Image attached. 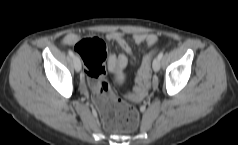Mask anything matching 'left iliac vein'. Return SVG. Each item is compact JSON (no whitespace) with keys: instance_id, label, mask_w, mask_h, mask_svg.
<instances>
[{"instance_id":"4c4485c4","label":"left iliac vein","mask_w":238,"mask_h":145,"mask_svg":"<svg viewBox=\"0 0 238 145\" xmlns=\"http://www.w3.org/2000/svg\"><path fill=\"white\" fill-rule=\"evenodd\" d=\"M152 67H153V70L155 72H158L159 69H160V60L158 59V57H156L153 61V64H152Z\"/></svg>"}]
</instances>
